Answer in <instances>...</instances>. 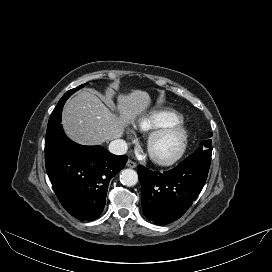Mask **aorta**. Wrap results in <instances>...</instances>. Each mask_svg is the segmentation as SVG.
I'll return each mask as SVG.
<instances>
[{
    "instance_id": "762f6f07",
    "label": "aorta",
    "mask_w": 272,
    "mask_h": 272,
    "mask_svg": "<svg viewBox=\"0 0 272 272\" xmlns=\"http://www.w3.org/2000/svg\"><path fill=\"white\" fill-rule=\"evenodd\" d=\"M121 182L126 186H134L138 182V174L133 169H125L120 175Z\"/></svg>"
}]
</instances>
